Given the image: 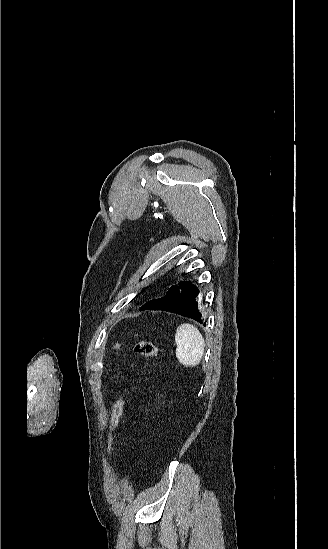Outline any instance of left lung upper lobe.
Returning a JSON list of instances; mask_svg holds the SVG:
<instances>
[{
    "instance_id": "left-lung-upper-lobe-1",
    "label": "left lung upper lobe",
    "mask_w": 328,
    "mask_h": 549,
    "mask_svg": "<svg viewBox=\"0 0 328 549\" xmlns=\"http://www.w3.org/2000/svg\"><path fill=\"white\" fill-rule=\"evenodd\" d=\"M178 294H179L178 287H177V286H172V287L168 290V292L166 293V295H164L162 298L151 300V301L147 302L146 304L154 303V302H157V301H159V300H165V299L168 300V301H169V299H172V300H173L174 298H176V297L178 296ZM146 304H144V305H146ZM144 305H143V306H144Z\"/></svg>"
}]
</instances>
